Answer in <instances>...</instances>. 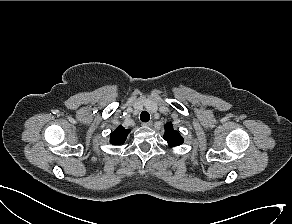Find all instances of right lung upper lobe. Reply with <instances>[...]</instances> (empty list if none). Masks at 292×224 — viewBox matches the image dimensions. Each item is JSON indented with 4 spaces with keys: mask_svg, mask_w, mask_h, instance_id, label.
<instances>
[{
    "mask_svg": "<svg viewBox=\"0 0 292 224\" xmlns=\"http://www.w3.org/2000/svg\"><path fill=\"white\" fill-rule=\"evenodd\" d=\"M130 133V129H125L123 126H118L117 129L110 135V143L114 145L123 144Z\"/></svg>",
    "mask_w": 292,
    "mask_h": 224,
    "instance_id": "obj_1",
    "label": "right lung upper lobe"
}]
</instances>
